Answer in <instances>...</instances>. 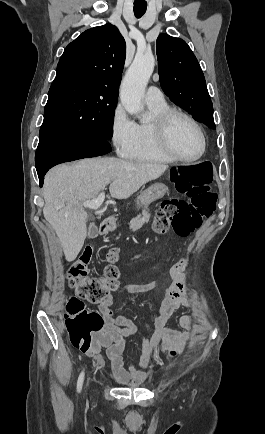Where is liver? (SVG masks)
I'll return each instance as SVG.
<instances>
[{
  "label": "liver",
  "mask_w": 265,
  "mask_h": 434,
  "mask_svg": "<svg viewBox=\"0 0 265 434\" xmlns=\"http://www.w3.org/2000/svg\"><path fill=\"white\" fill-rule=\"evenodd\" d=\"M169 166L161 162L143 164L119 158H89L73 166H56L45 176L43 214L54 228L65 260L73 262L87 236V212L82 202L95 200L109 186L111 198L126 200L143 184L157 180Z\"/></svg>",
  "instance_id": "6515ba94"
}]
</instances>
